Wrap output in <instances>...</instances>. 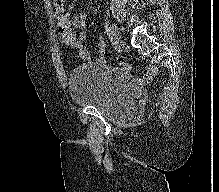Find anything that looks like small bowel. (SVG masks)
Returning a JSON list of instances; mask_svg holds the SVG:
<instances>
[{
    "instance_id": "obj_1",
    "label": "small bowel",
    "mask_w": 219,
    "mask_h": 192,
    "mask_svg": "<svg viewBox=\"0 0 219 192\" xmlns=\"http://www.w3.org/2000/svg\"><path fill=\"white\" fill-rule=\"evenodd\" d=\"M58 21L62 18L68 22L67 30H59L61 33V40L65 46L71 49H75L79 53V57L82 61H89L90 55L83 45V41L86 38V22L87 14L85 12L68 18L67 11L63 7H59L56 12ZM97 58L96 63L103 64L105 58V42L102 37L97 38ZM157 73L155 66H150L145 74L144 80L146 82L152 81Z\"/></svg>"
}]
</instances>
